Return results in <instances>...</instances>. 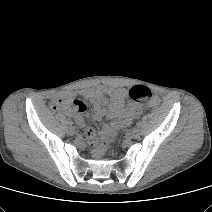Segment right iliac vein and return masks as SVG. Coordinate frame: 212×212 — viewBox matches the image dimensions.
Wrapping results in <instances>:
<instances>
[{
    "label": "right iliac vein",
    "instance_id": "1",
    "mask_svg": "<svg viewBox=\"0 0 212 212\" xmlns=\"http://www.w3.org/2000/svg\"><path fill=\"white\" fill-rule=\"evenodd\" d=\"M74 133H75L74 128H73L72 126H69V127H68V134H69V135H73Z\"/></svg>",
    "mask_w": 212,
    "mask_h": 212
}]
</instances>
